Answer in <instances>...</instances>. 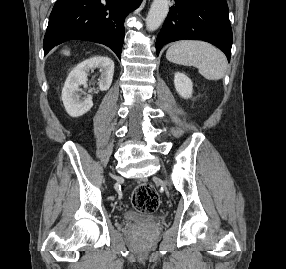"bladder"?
Wrapping results in <instances>:
<instances>
[{"label": "bladder", "instance_id": "1", "mask_svg": "<svg viewBox=\"0 0 286 269\" xmlns=\"http://www.w3.org/2000/svg\"><path fill=\"white\" fill-rule=\"evenodd\" d=\"M123 218L129 222H149L155 219V216L149 213H142L133 209H127Z\"/></svg>", "mask_w": 286, "mask_h": 269}]
</instances>
